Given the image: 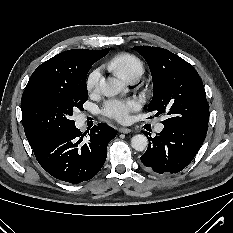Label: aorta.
<instances>
[{
  "mask_svg": "<svg viewBox=\"0 0 233 233\" xmlns=\"http://www.w3.org/2000/svg\"><path fill=\"white\" fill-rule=\"evenodd\" d=\"M100 89L104 96L112 97L122 91L123 83L116 78L101 79ZM131 145L136 151H143L148 145L147 137L143 134H137L132 137Z\"/></svg>",
  "mask_w": 233,
  "mask_h": 233,
  "instance_id": "aorta-1",
  "label": "aorta"
}]
</instances>
